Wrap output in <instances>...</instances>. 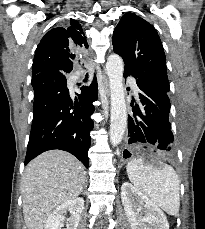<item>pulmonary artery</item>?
Returning a JSON list of instances; mask_svg holds the SVG:
<instances>
[{
    "instance_id": "e3ab8cb5",
    "label": "pulmonary artery",
    "mask_w": 205,
    "mask_h": 229,
    "mask_svg": "<svg viewBox=\"0 0 205 229\" xmlns=\"http://www.w3.org/2000/svg\"><path fill=\"white\" fill-rule=\"evenodd\" d=\"M127 82L129 83L134 92H138V86L133 78H128Z\"/></svg>"
}]
</instances>
